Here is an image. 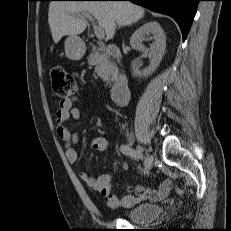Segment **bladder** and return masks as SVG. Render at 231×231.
<instances>
[{
  "mask_svg": "<svg viewBox=\"0 0 231 231\" xmlns=\"http://www.w3.org/2000/svg\"><path fill=\"white\" fill-rule=\"evenodd\" d=\"M162 207L157 204H136L123 212L132 223H147L160 216Z\"/></svg>",
  "mask_w": 231,
  "mask_h": 231,
  "instance_id": "bladder-1",
  "label": "bladder"
}]
</instances>
